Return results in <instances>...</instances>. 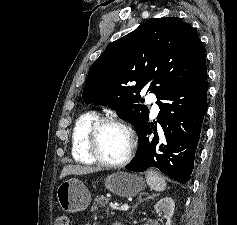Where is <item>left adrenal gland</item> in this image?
I'll return each mask as SVG.
<instances>
[{
  "mask_svg": "<svg viewBox=\"0 0 237 225\" xmlns=\"http://www.w3.org/2000/svg\"><path fill=\"white\" fill-rule=\"evenodd\" d=\"M142 194H146V193H142ZM157 194H154L152 196H147L146 198H141V196L139 197L138 199V202L134 205V207L132 208L131 212H130V215L134 212V210L136 209V207L143 201H146V200H149V199H153L154 197H156Z\"/></svg>",
  "mask_w": 237,
  "mask_h": 225,
  "instance_id": "left-adrenal-gland-1",
  "label": "left adrenal gland"
}]
</instances>
